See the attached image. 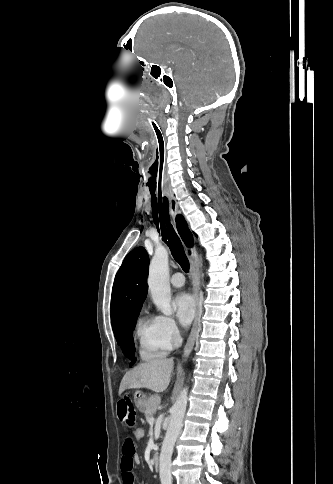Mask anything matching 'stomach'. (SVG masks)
<instances>
[{"label": "stomach", "mask_w": 333, "mask_h": 484, "mask_svg": "<svg viewBox=\"0 0 333 484\" xmlns=\"http://www.w3.org/2000/svg\"><path fill=\"white\" fill-rule=\"evenodd\" d=\"M148 397L141 391H136L134 395V401L139 411H144L147 404Z\"/></svg>", "instance_id": "obj_1"}]
</instances>
